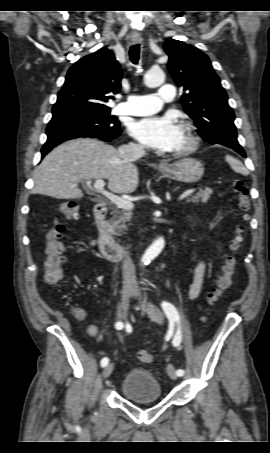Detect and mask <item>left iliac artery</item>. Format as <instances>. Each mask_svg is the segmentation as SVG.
Here are the masks:
<instances>
[{
	"label": "left iliac artery",
	"mask_w": 270,
	"mask_h": 453,
	"mask_svg": "<svg viewBox=\"0 0 270 453\" xmlns=\"http://www.w3.org/2000/svg\"><path fill=\"white\" fill-rule=\"evenodd\" d=\"M162 309L164 313L166 314L167 318L171 323L177 322L178 324L180 323V316L176 308L169 302L163 301L162 304ZM181 330L180 326L178 325V330L177 333L174 336L173 339V345L174 346H179L181 343ZM177 376H182L184 374V371L182 369H178L176 371Z\"/></svg>",
	"instance_id": "obj_1"
}]
</instances>
